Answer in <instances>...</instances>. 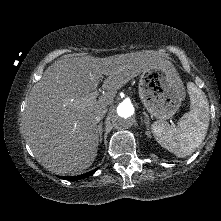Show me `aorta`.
<instances>
[{"label":"aorta","instance_id":"1","mask_svg":"<svg viewBox=\"0 0 221 221\" xmlns=\"http://www.w3.org/2000/svg\"><path fill=\"white\" fill-rule=\"evenodd\" d=\"M135 122V108L130 101L117 103L112 111V123L119 131L128 130Z\"/></svg>","mask_w":221,"mask_h":221}]
</instances>
